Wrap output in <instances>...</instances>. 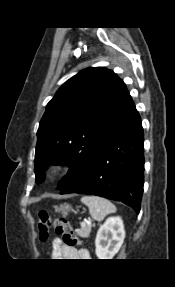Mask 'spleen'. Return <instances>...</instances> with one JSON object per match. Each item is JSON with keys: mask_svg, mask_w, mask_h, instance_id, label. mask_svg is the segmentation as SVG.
Masks as SVG:
<instances>
[{"mask_svg": "<svg viewBox=\"0 0 175 287\" xmlns=\"http://www.w3.org/2000/svg\"><path fill=\"white\" fill-rule=\"evenodd\" d=\"M81 202L89 208L90 216L97 221H102L108 214L116 212L115 205L106 198L83 196Z\"/></svg>", "mask_w": 175, "mask_h": 287, "instance_id": "1", "label": "spleen"}]
</instances>
